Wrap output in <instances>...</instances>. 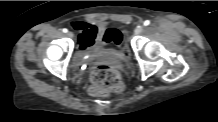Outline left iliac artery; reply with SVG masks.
<instances>
[{
  "label": "left iliac artery",
  "mask_w": 218,
  "mask_h": 122,
  "mask_svg": "<svg viewBox=\"0 0 218 122\" xmlns=\"http://www.w3.org/2000/svg\"><path fill=\"white\" fill-rule=\"evenodd\" d=\"M150 24V21L149 20H146L145 22H144V25L145 26H148Z\"/></svg>",
  "instance_id": "44dca946"
}]
</instances>
